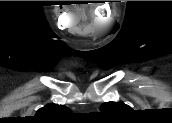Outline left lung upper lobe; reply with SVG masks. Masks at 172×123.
<instances>
[{"mask_svg": "<svg viewBox=\"0 0 172 123\" xmlns=\"http://www.w3.org/2000/svg\"><path fill=\"white\" fill-rule=\"evenodd\" d=\"M129 109L130 107L123 102H107L101 105L103 113H122Z\"/></svg>", "mask_w": 172, "mask_h": 123, "instance_id": "1", "label": "left lung upper lobe"}]
</instances>
